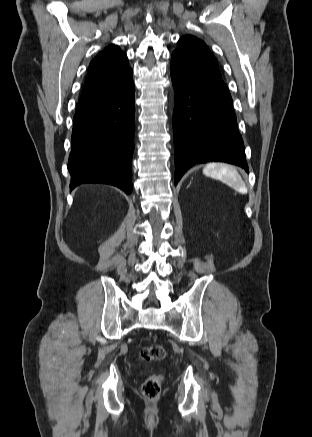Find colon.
<instances>
[{
    "instance_id": "obj_1",
    "label": "colon",
    "mask_w": 312,
    "mask_h": 437,
    "mask_svg": "<svg viewBox=\"0 0 312 437\" xmlns=\"http://www.w3.org/2000/svg\"><path fill=\"white\" fill-rule=\"evenodd\" d=\"M165 357V350L160 344H149L141 348L139 359L141 361H161ZM163 383V376L153 374L149 376L142 386V394L148 399H155L159 396Z\"/></svg>"
}]
</instances>
